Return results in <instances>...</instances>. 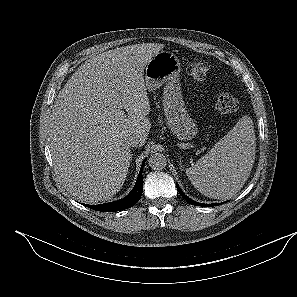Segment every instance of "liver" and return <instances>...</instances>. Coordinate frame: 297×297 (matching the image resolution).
Wrapping results in <instances>:
<instances>
[{
    "instance_id": "1",
    "label": "liver",
    "mask_w": 297,
    "mask_h": 297,
    "mask_svg": "<svg viewBox=\"0 0 297 297\" xmlns=\"http://www.w3.org/2000/svg\"><path fill=\"white\" fill-rule=\"evenodd\" d=\"M163 47L143 43L93 56L59 92L49 147L60 183L79 201H107L122 188L132 156L126 138L134 134L142 146L151 128L144 67Z\"/></svg>"
}]
</instances>
